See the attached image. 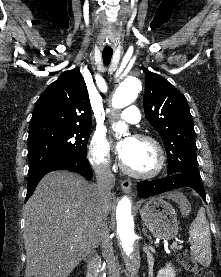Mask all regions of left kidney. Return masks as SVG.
Segmentation results:
<instances>
[{
	"mask_svg": "<svg viewBox=\"0 0 221 277\" xmlns=\"http://www.w3.org/2000/svg\"><path fill=\"white\" fill-rule=\"evenodd\" d=\"M176 271L172 267L171 263L166 264L165 268H162L158 271L157 277H175Z\"/></svg>",
	"mask_w": 221,
	"mask_h": 277,
	"instance_id": "5707ae66",
	"label": "left kidney"
}]
</instances>
